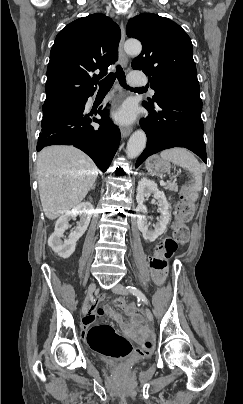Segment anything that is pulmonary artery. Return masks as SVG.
Returning <instances> with one entry per match:
<instances>
[{
	"label": "pulmonary artery",
	"mask_w": 243,
	"mask_h": 404,
	"mask_svg": "<svg viewBox=\"0 0 243 404\" xmlns=\"http://www.w3.org/2000/svg\"><path fill=\"white\" fill-rule=\"evenodd\" d=\"M150 93H151L152 95H154V94H155V90H154L153 88H150Z\"/></svg>",
	"instance_id": "obj_1"
}]
</instances>
